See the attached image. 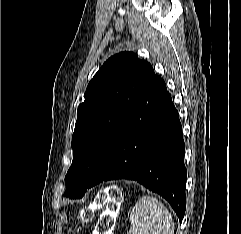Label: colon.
Wrapping results in <instances>:
<instances>
[{
	"label": "colon",
	"instance_id": "1",
	"mask_svg": "<svg viewBox=\"0 0 241 234\" xmlns=\"http://www.w3.org/2000/svg\"><path fill=\"white\" fill-rule=\"evenodd\" d=\"M120 200V192L117 189L107 188L97 194L92 207H86L81 211L82 219L90 221L96 209L102 210L94 234H113Z\"/></svg>",
	"mask_w": 241,
	"mask_h": 234
}]
</instances>
